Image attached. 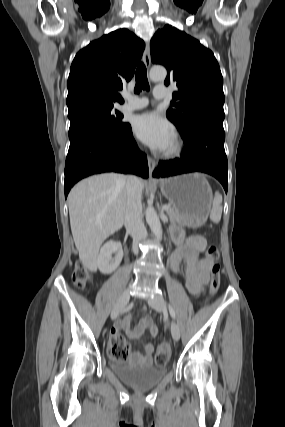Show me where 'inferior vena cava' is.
<instances>
[{
  "instance_id": "1",
  "label": "inferior vena cava",
  "mask_w": 285,
  "mask_h": 427,
  "mask_svg": "<svg viewBox=\"0 0 285 427\" xmlns=\"http://www.w3.org/2000/svg\"><path fill=\"white\" fill-rule=\"evenodd\" d=\"M126 212L125 227L133 238V251L138 253V244L147 237V231L142 221V187L140 180L133 175L127 177L126 183Z\"/></svg>"
}]
</instances>
